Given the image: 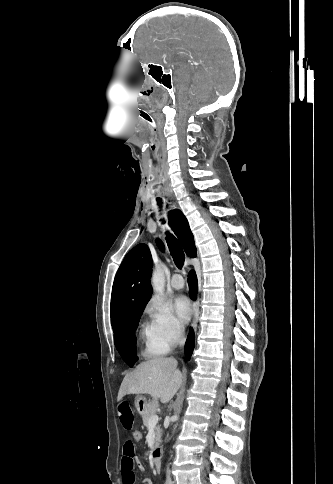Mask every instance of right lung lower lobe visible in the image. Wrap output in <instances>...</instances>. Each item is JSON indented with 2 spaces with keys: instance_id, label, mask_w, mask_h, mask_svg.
Listing matches in <instances>:
<instances>
[{
  "instance_id": "98d812e1",
  "label": "right lung lower lobe",
  "mask_w": 333,
  "mask_h": 484,
  "mask_svg": "<svg viewBox=\"0 0 333 484\" xmlns=\"http://www.w3.org/2000/svg\"><path fill=\"white\" fill-rule=\"evenodd\" d=\"M188 283L190 286V294L193 296L197 292V278L194 271H190L188 275ZM194 340H195V336H194L193 330L190 329V332L185 344V355L187 359L191 357L192 351L194 349Z\"/></svg>"
}]
</instances>
